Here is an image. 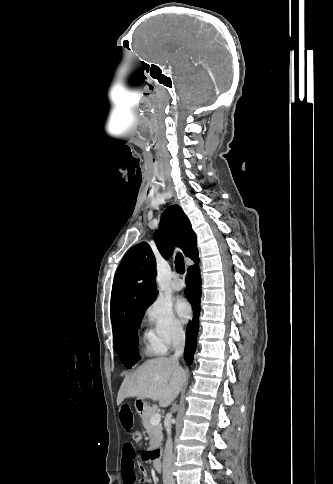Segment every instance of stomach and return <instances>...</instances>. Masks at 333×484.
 Instances as JSON below:
<instances>
[{
	"mask_svg": "<svg viewBox=\"0 0 333 484\" xmlns=\"http://www.w3.org/2000/svg\"><path fill=\"white\" fill-rule=\"evenodd\" d=\"M135 407L137 412L142 415L148 409V403L144 399H137L135 401Z\"/></svg>",
	"mask_w": 333,
	"mask_h": 484,
	"instance_id": "0dacf381",
	"label": "stomach"
}]
</instances>
